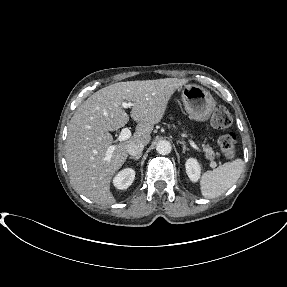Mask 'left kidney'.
<instances>
[{
    "mask_svg": "<svg viewBox=\"0 0 287 287\" xmlns=\"http://www.w3.org/2000/svg\"><path fill=\"white\" fill-rule=\"evenodd\" d=\"M186 173L192 182H197L200 178L201 167L194 158H189L185 164Z\"/></svg>",
    "mask_w": 287,
    "mask_h": 287,
    "instance_id": "obj_1",
    "label": "left kidney"
}]
</instances>
